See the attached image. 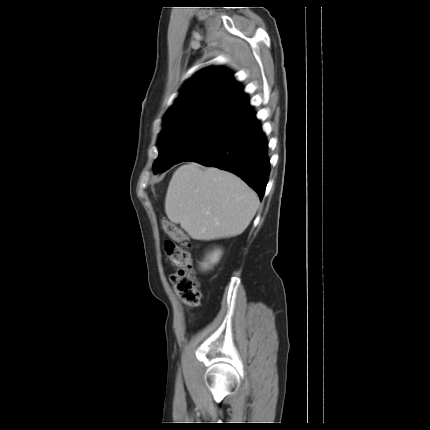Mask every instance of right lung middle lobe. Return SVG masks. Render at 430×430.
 <instances>
[{
	"label": "right lung middle lobe",
	"instance_id": "1",
	"mask_svg": "<svg viewBox=\"0 0 430 430\" xmlns=\"http://www.w3.org/2000/svg\"><path fill=\"white\" fill-rule=\"evenodd\" d=\"M241 117L221 101L203 103L166 114L159 136L154 174L168 170L211 143Z\"/></svg>",
	"mask_w": 430,
	"mask_h": 430
}]
</instances>
